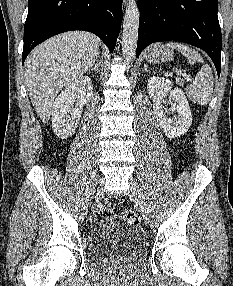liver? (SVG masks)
Returning a JSON list of instances; mask_svg holds the SVG:
<instances>
[{"mask_svg": "<svg viewBox=\"0 0 233 286\" xmlns=\"http://www.w3.org/2000/svg\"><path fill=\"white\" fill-rule=\"evenodd\" d=\"M99 39L88 32L59 34L38 45L25 61V81L32 105L47 123L61 89L81 77L99 54Z\"/></svg>", "mask_w": 233, "mask_h": 286, "instance_id": "liver-1", "label": "liver"}]
</instances>
